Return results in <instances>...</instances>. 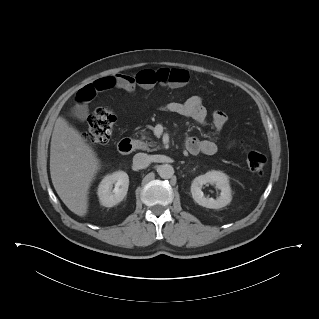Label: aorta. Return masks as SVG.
I'll return each instance as SVG.
<instances>
[{
    "mask_svg": "<svg viewBox=\"0 0 319 319\" xmlns=\"http://www.w3.org/2000/svg\"><path fill=\"white\" fill-rule=\"evenodd\" d=\"M157 171L163 179H170L174 174V168L170 164L160 165Z\"/></svg>",
    "mask_w": 319,
    "mask_h": 319,
    "instance_id": "1",
    "label": "aorta"
}]
</instances>
